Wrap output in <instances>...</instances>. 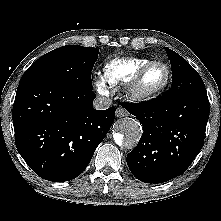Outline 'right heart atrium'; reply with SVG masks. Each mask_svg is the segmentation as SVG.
<instances>
[{
  "instance_id": "obj_1",
  "label": "right heart atrium",
  "mask_w": 221,
  "mask_h": 221,
  "mask_svg": "<svg viewBox=\"0 0 221 221\" xmlns=\"http://www.w3.org/2000/svg\"><path fill=\"white\" fill-rule=\"evenodd\" d=\"M95 86H96V89L99 93H101V94L105 93L106 88H105V83L103 80L97 79L95 81Z\"/></svg>"
}]
</instances>
